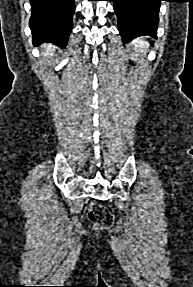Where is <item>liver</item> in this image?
Returning a JSON list of instances; mask_svg holds the SVG:
<instances>
[{
    "label": "liver",
    "instance_id": "obj_1",
    "mask_svg": "<svg viewBox=\"0 0 193 287\" xmlns=\"http://www.w3.org/2000/svg\"><path fill=\"white\" fill-rule=\"evenodd\" d=\"M43 47L45 49V52H43V56L45 58H49L52 55V53L54 52V47L50 44H46Z\"/></svg>",
    "mask_w": 193,
    "mask_h": 287
}]
</instances>
